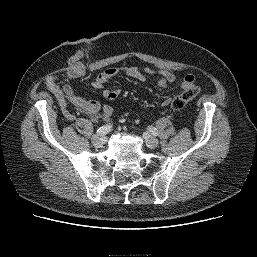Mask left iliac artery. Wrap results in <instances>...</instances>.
I'll return each mask as SVG.
<instances>
[{
	"mask_svg": "<svg viewBox=\"0 0 257 257\" xmlns=\"http://www.w3.org/2000/svg\"><path fill=\"white\" fill-rule=\"evenodd\" d=\"M149 131L153 134V135H158V131H157V129L155 128V127H149Z\"/></svg>",
	"mask_w": 257,
	"mask_h": 257,
	"instance_id": "44dca946",
	"label": "left iliac artery"
}]
</instances>
